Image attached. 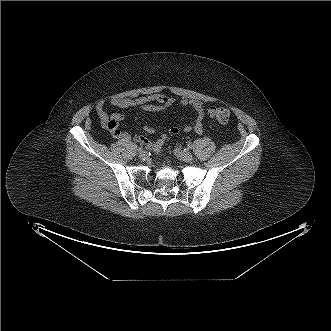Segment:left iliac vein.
Returning <instances> with one entry per match:
<instances>
[{"label":"left iliac vein","instance_id":"obj_1","mask_svg":"<svg viewBox=\"0 0 331 331\" xmlns=\"http://www.w3.org/2000/svg\"><path fill=\"white\" fill-rule=\"evenodd\" d=\"M174 154L180 159L185 162H190L193 160V156L189 151L182 150L178 147L174 149Z\"/></svg>","mask_w":331,"mask_h":331}]
</instances>
